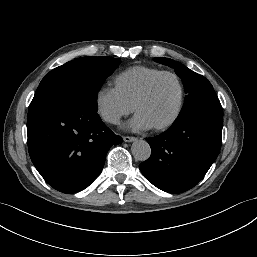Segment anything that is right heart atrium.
I'll list each match as a JSON object with an SVG mask.
<instances>
[{
	"label": "right heart atrium",
	"mask_w": 257,
	"mask_h": 257,
	"mask_svg": "<svg viewBox=\"0 0 257 257\" xmlns=\"http://www.w3.org/2000/svg\"><path fill=\"white\" fill-rule=\"evenodd\" d=\"M98 113L108 123L117 124L122 117L133 110L130 104L116 87L101 86L96 93Z\"/></svg>",
	"instance_id": "right-heart-atrium-1"
}]
</instances>
